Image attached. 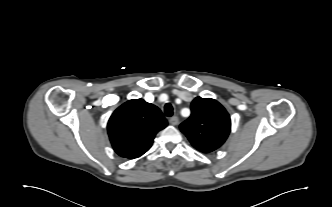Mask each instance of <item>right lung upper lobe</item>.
<instances>
[{"instance_id":"right-lung-upper-lobe-1","label":"right lung upper lobe","mask_w":332,"mask_h":207,"mask_svg":"<svg viewBox=\"0 0 332 207\" xmlns=\"http://www.w3.org/2000/svg\"><path fill=\"white\" fill-rule=\"evenodd\" d=\"M166 126L167 120L159 108L143 99H133L114 111L107 129L115 152L134 159L149 150L156 133Z\"/></svg>"}]
</instances>
